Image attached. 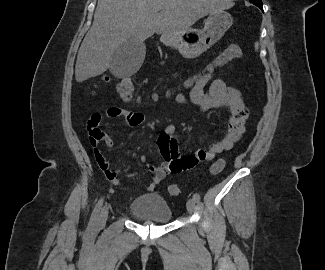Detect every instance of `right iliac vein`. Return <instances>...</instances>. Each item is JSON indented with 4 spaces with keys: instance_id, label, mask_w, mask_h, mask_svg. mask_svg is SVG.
<instances>
[{
    "instance_id": "63e3f726",
    "label": "right iliac vein",
    "mask_w": 325,
    "mask_h": 270,
    "mask_svg": "<svg viewBox=\"0 0 325 270\" xmlns=\"http://www.w3.org/2000/svg\"><path fill=\"white\" fill-rule=\"evenodd\" d=\"M109 207L110 206H108V205L103 207V209L97 219V225L101 226L106 223L107 218H108Z\"/></svg>"
}]
</instances>
